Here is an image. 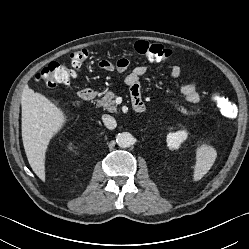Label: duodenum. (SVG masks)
Instances as JSON below:
<instances>
[{"label":"duodenum","mask_w":249,"mask_h":249,"mask_svg":"<svg viewBox=\"0 0 249 249\" xmlns=\"http://www.w3.org/2000/svg\"><path fill=\"white\" fill-rule=\"evenodd\" d=\"M95 96L96 93L92 88H83L79 91V97L84 101L92 100ZM133 107L139 113L145 110V104L140 98L133 100Z\"/></svg>","instance_id":"1"}]
</instances>
